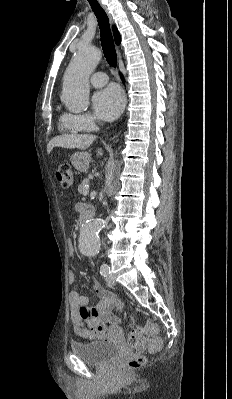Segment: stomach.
<instances>
[{
    "mask_svg": "<svg viewBox=\"0 0 232 399\" xmlns=\"http://www.w3.org/2000/svg\"><path fill=\"white\" fill-rule=\"evenodd\" d=\"M72 166L79 170V172H87L91 158L88 152H76L70 158Z\"/></svg>",
    "mask_w": 232,
    "mask_h": 399,
    "instance_id": "stomach-1",
    "label": "stomach"
}]
</instances>
